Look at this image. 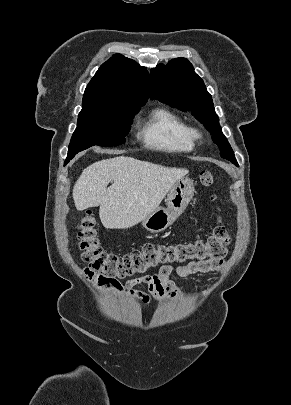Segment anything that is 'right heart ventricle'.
Returning a JSON list of instances; mask_svg holds the SVG:
<instances>
[{
    "label": "right heart ventricle",
    "instance_id": "right-heart-ventricle-1",
    "mask_svg": "<svg viewBox=\"0 0 291 405\" xmlns=\"http://www.w3.org/2000/svg\"><path fill=\"white\" fill-rule=\"evenodd\" d=\"M139 136L151 148L170 152L186 153L194 148L190 127L177 113L158 107L143 119Z\"/></svg>",
    "mask_w": 291,
    "mask_h": 405
}]
</instances>
